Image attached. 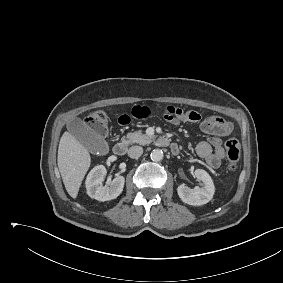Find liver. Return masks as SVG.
Instances as JSON below:
<instances>
[{"label":"liver","instance_id":"1","mask_svg":"<svg viewBox=\"0 0 283 283\" xmlns=\"http://www.w3.org/2000/svg\"><path fill=\"white\" fill-rule=\"evenodd\" d=\"M57 162L64 186L68 194L75 199L90 167V154L74 136L66 131L60 139Z\"/></svg>","mask_w":283,"mask_h":283}]
</instances>
